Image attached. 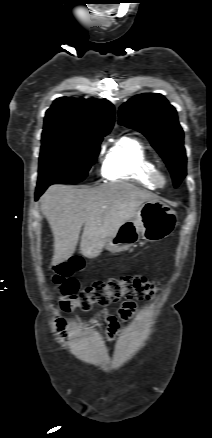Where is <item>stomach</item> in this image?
<instances>
[{"mask_svg": "<svg viewBox=\"0 0 212 438\" xmlns=\"http://www.w3.org/2000/svg\"><path fill=\"white\" fill-rule=\"evenodd\" d=\"M177 226V214L160 200L143 203L135 216L121 225L106 243L112 253L127 250L140 239L158 242L170 236Z\"/></svg>", "mask_w": 212, "mask_h": 438, "instance_id": "stomach-1", "label": "stomach"}]
</instances>
